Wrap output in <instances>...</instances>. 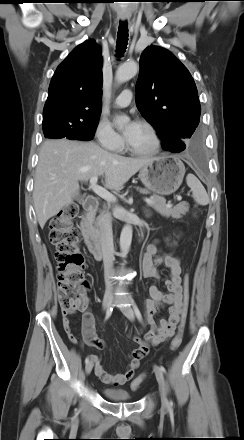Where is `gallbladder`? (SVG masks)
Masks as SVG:
<instances>
[{"label": "gallbladder", "instance_id": "1", "mask_svg": "<svg viewBox=\"0 0 244 440\" xmlns=\"http://www.w3.org/2000/svg\"><path fill=\"white\" fill-rule=\"evenodd\" d=\"M75 199H76L77 201L81 202V201L84 199V196L81 195V194H77V195L75 196Z\"/></svg>", "mask_w": 244, "mask_h": 440}]
</instances>
